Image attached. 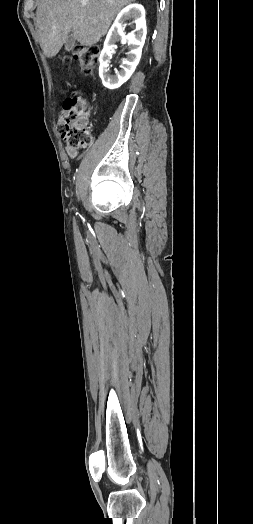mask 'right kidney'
Wrapping results in <instances>:
<instances>
[{"mask_svg": "<svg viewBox=\"0 0 253 524\" xmlns=\"http://www.w3.org/2000/svg\"><path fill=\"white\" fill-rule=\"evenodd\" d=\"M127 20H133L135 31L126 35L123 24ZM146 34L145 9L142 5L131 4L117 15L99 57V76L106 88L117 89L131 77L140 61ZM118 41L128 46V57L123 60L121 70L116 71L115 75H110L107 68Z\"/></svg>", "mask_w": 253, "mask_h": 524, "instance_id": "obj_1", "label": "right kidney"}]
</instances>
